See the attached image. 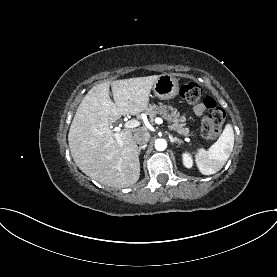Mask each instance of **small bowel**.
<instances>
[{
  "mask_svg": "<svg viewBox=\"0 0 277 277\" xmlns=\"http://www.w3.org/2000/svg\"><path fill=\"white\" fill-rule=\"evenodd\" d=\"M205 109H206V107L204 106L203 103L197 104V105L194 107V113H195L196 115H201V114L204 112Z\"/></svg>",
  "mask_w": 277,
  "mask_h": 277,
  "instance_id": "obj_1",
  "label": "small bowel"
}]
</instances>
